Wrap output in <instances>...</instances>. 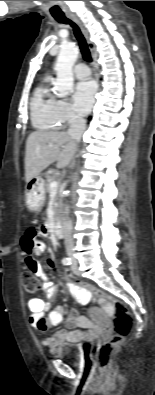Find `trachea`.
Returning a JSON list of instances; mask_svg holds the SVG:
<instances>
[{
  "label": "trachea",
  "instance_id": "3493384b",
  "mask_svg": "<svg viewBox=\"0 0 155 395\" xmlns=\"http://www.w3.org/2000/svg\"><path fill=\"white\" fill-rule=\"evenodd\" d=\"M53 17L59 23L69 24L73 28L75 37L79 41L80 50L84 60L91 62L92 58H91L90 50L78 25L75 22H73L71 19L67 18L64 14L54 15Z\"/></svg>",
  "mask_w": 155,
  "mask_h": 395
}]
</instances>
